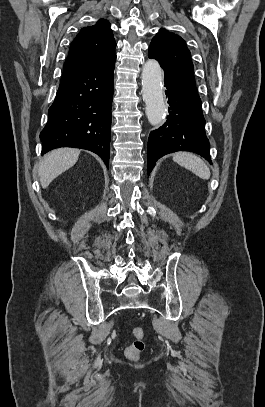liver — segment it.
<instances>
[{"mask_svg": "<svg viewBox=\"0 0 265 407\" xmlns=\"http://www.w3.org/2000/svg\"><path fill=\"white\" fill-rule=\"evenodd\" d=\"M79 154L78 149L59 148L45 155L38 172L42 188H47L56 177L74 166Z\"/></svg>", "mask_w": 265, "mask_h": 407, "instance_id": "obj_1", "label": "liver"}]
</instances>
